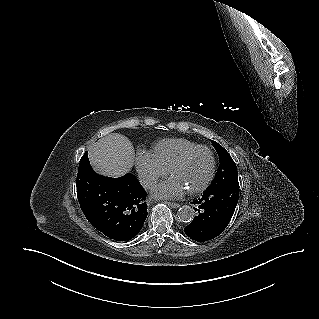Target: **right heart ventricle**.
I'll use <instances>...</instances> for the list:
<instances>
[{"label":"right heart ventricle","instance_id":"obj_1","mask_svg":"<svg viewBox=\"0 0 319 319\" xmlns=\"http://www.w3.org/2000/svg\"><path fill=\"white\" fill-rule=\"evenodd\" d=\"M199 144L185 138H168L155 142L149 153L165 170L186 150Z\"/></svg>","mask_w":319,"mask_h":319}]
</instances>
